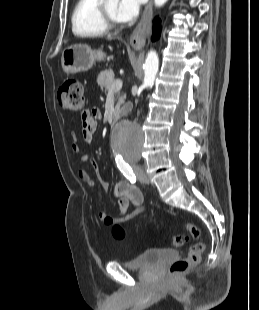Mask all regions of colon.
I'll use <instances>...</instances> for the list:
<instances>
[{"label": "colon", "mask_w": 259, "mask_h": 310, "mask_svg": "<svg viewBox=\"0 0 259 310\" xmlns=\"http://www.w3.org/2000/svg\"><path fill=\"white\" fill-rule=\"evenodd\" d=\"M57 103L60 108L66 111L82 112L85 106V99L83 95V89L80 81L68 78L61 85L57 93ZM185 230L193 237L198 238L200 236V229L190 223L185 225ZM112 235L117 240H122L125 237V231L119 223H115L112 228ZM188 238L185 235H176L171 239L172 247L178 248L185 245ZM204 250L202 243L191 244L187 250V256L183 259L174 261L169 272L171 275H178L186 272L192 266L196 265L200 256Z\"/></svg>", "instance_id": "5ec220e1"}]
</instances>
